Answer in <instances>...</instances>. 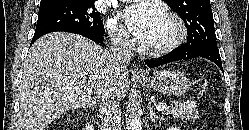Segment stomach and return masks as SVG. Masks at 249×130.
<instances>
[{
	"label": "stomach",
	"instance_id": "0dacf381",
	"mask_svg": "<svg viewBox=\"0 0 249 130\" xmlns=\"http://www.w3.org/2000/svg\"><path fill=\"white\" fill-rule=\"evenodd\" d=\"M137 80L149 89L169 96H180L189 89L187 77L177 70H162L156 74L137 78Z\"/></svg>",
	"mask_w": 249,
	"mask_h": 130
}]
</instances>
